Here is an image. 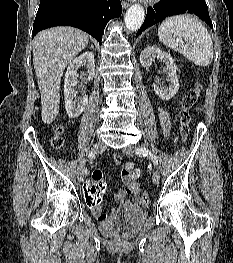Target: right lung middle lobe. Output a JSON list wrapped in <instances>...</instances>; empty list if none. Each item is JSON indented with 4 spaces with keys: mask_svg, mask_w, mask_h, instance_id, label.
Returning a JSON list of instances; mask_svg holds the SVG:
<instances>
[{
    "mask_svg": "<svg viewBox=\"0 0 233 263\" xmlns=\"http://www.w3.org/2000/svg\"><path fill=\"white\" fill-rule=\"evenodd\" d=\"M48 0H40V4L45 3Z\"/></svg>",
    "mask_w": 233,
    "mask_h": 263,
    "instance_id": "obj_1",
    "label": "right lung middle lobe"
}]
</instances>
